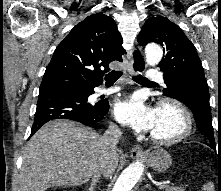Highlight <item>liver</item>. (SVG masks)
<instances>
[{
    "label": "liver",
    "mask_w": 221,
    "mask_h": 191,
    "mask_svg": "<svg viewBox=\"0 0 221 191\" xmlns=\"http://www.w3.org/2000/svg\"><path fill=\"white\" fill-rule=\"evenodd\" d=\"M104 159L101 136L79 123L54 120L30 139L23 155L21 191H45L53 186H78L97 172ZM119 156L110 158L111 176Z\"/></svg>",
    "instance_id": "liver-1"
}]
</instances>
